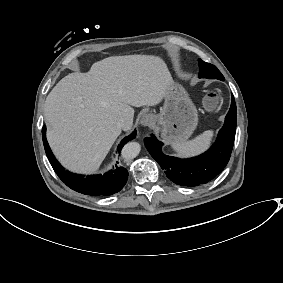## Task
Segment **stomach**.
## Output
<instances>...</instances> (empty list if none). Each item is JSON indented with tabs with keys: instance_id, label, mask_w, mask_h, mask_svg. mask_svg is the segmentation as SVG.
<instances>
[{
	"instance_id": "obj_1",
	"label": "stomach",
	"mask_w": 283,
	"mask_h": 283,
	"mask_svg": "<svg viewBox=\"0 0 283 283\" xmlns=\"http://www.w3.org/2000/svg\"><path fill=\"white\" fill-rule=\"evenodd\" d=\"M165 100L160 116H154L156 123L163 126L162 137L168 142L187 138L197 124L195 106L186 92L177 85L173 86Z\"/></svg>"
}]
</instances>
